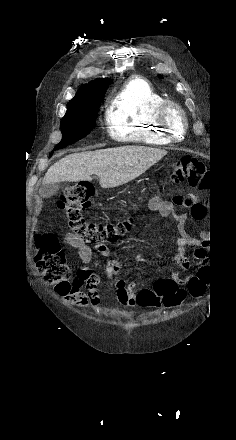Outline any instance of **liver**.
Wrapping results in <instances>:
<instances>
[{"mask_svg": "<svg viewBox=\"0 0 236 440\" xmlns=\"http://www.w3.org/2000/svg\"><path fill=\"white\" fill-rule=\"evenodd\" d=\"M166 154L163 149L144 146L73 153L54 163L42 184L91 181L95 174L101 187L114 188L139 177Z\"/></svg>", "mask_w": 236, "mask_h": 440, "instance_id": "6515ba94", "label": "liver"}]
</instances>
